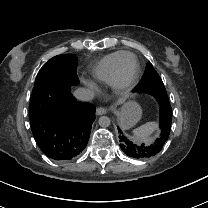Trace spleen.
Listing matches in <instances>:
<instances>
[{"mask_svg":"<svg viewBox=\"0 0 208 208\" xmlns=\"http://www.w3.org/2000/svg\"><path fill=\"white\" fill-rule=\"evenodd\" d=\"M158 123L156 122H147L144 125L133 130L135 141H146L150 138L151 134L158 130Z\"/></svg>","mask_w":208,"mask_h":208,"instance_id":"obj_1","label":"spleen"}]
</instances>
